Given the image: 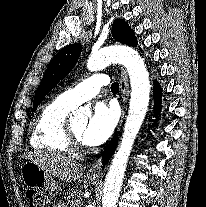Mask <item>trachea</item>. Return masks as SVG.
<instances>
[{
  "label": "trachea",
  "mask_w": 206,
  "mask_h": 207,
  "mask_svg": "<svg viewBox=\"0 0 206 207\" xmlns=\"http://www.w3.org/2000/svg\"><path fill=\"white\" fill-rule=\"evenodd\" d=\"M111 91L114 92V93H117L119 91V84L118 83H113L111 85Z\"/></svg>",
  "instance_id": "3493384b"
}]
</instances>
